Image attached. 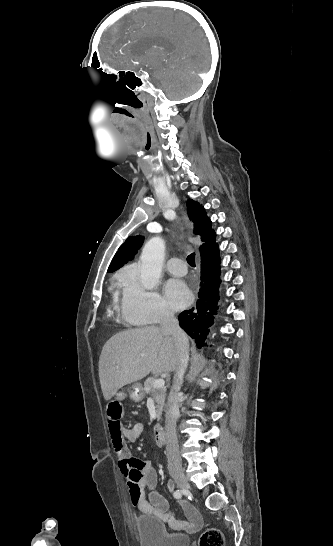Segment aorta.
<instances>
[{"label":"aorta","instance_id":"aorta-1","mask_svg":"<svg viewBox=\"0 0 333 546\" xmlns=\"http://www.w3.org/2000/svg\"><path fill=\"white\" fill-rule=\"evenodd\" d=\"M165 257V242L159 237H152L144 246L140 256L141 283L145 289H154L162 272Z\"/></svg>","mask_w":333,"mask_h":546}]
</instances>
